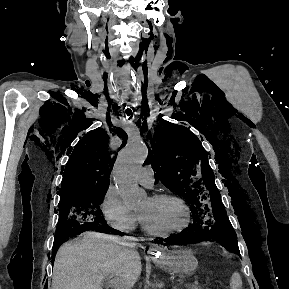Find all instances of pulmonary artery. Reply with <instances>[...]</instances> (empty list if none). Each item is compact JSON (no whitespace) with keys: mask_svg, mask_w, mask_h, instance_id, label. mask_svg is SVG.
I'll list each match as a JSON object with an SVG mask.
<instances>
[{"mask_svg":"<svg viewBox=\"0 0 289 289\" xmlns=\"http://www.w3.org/2000/svg\"><path fill=\"white\" fill-rule=\"evenodd\" d=\"M138 182L145 187H152L154 184V172L150 166H144L137 175Z\"/></svg>","mask_w":289,"mask_h":289,"instance_id":"1","label":"pulmonary artery"}]
</instances>
